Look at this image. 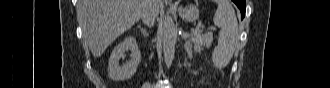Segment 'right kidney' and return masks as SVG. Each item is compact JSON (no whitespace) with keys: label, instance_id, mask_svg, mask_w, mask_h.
<instances>
[{"label":"right kidney","instance_id":"right-kidney-1","mask_svg":"<svg viewBox=\"0 0 330 88\" xmlns=\"http://www.w3.org/2000/svg\"><path fill=\"white\" fill-rule=\"evenodd\" d=\"M127 51H131L130 60L126 64L120 66L119 60ZM140 61L141 53L136 38L128 36L116 45L112 51L108 63V75L115 81L130 79L136 73Z\"/></svg>","mask_w":330,"mask_h":88}]
</instances>
